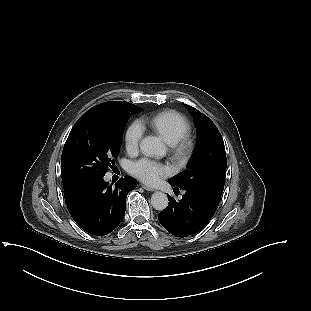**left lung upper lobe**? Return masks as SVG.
<instances>
[{
  "label": "left lung upper lobe",
  "instance_id": "obj_1",
  "mask_svg": "<svg viewBox=\"0 0 311 311\" xmlns=\"http://www.w3.org/2000/svg\"><path fill=\"white\" fill-rule=\"evenodd\" d=\"M186 107L194 117L199 140L188 168L168 182L219 202L227 166L223 138L211 119L189 105Z\"/></svg>",
  "mask_w": 311,
  "mask_h": 311
}]
</instances>
